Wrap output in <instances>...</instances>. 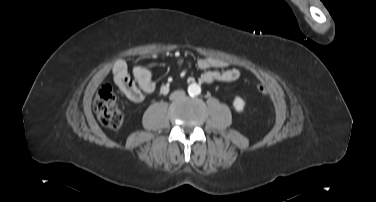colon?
<instances>
[{
	"mask_svg": "<svg viewBox=\"0 0 376 202\" xmlns=\"http://www.w3.org/2000/svg\"><path fill=\"white\" fill-rule=\"evenodd\" d=\"M257 91L261 94L267 92L264 84L257 85ZM94 111L98 120L106 127L119 129L124 121V112L117 102L111 86L103 85L97 92L94 102Z\"/></svg>",
	"mask_w": 376,
	"mask_h": 202,
	"instance_id": "colon-1",
	"label": "colon"
}]
</instances>
